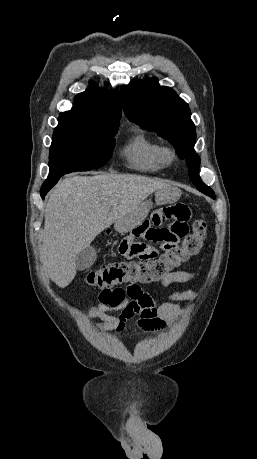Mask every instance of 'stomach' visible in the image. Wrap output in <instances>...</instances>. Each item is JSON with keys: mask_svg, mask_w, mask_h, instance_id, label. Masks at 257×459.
Masks as SVG:
<instances>
[{"mask_svg": "<svg viewBox=\"0 0 257 459\" xmlns=\"http://www.w3.org/2000/svg\"><path fill=\"white\" fill-rule=\"evenodd\" d=\"M180 195L181 191L177 187L168 186L156 191L155 202L157 205L170 204L173 203L174 200H178ZM151 208L152 202L150 200L140 203L137 207L130 210L114 222L115 230L121 234L129 232V230H132L135 227L136 223L143 222L149 214Z\"/></svg>", "mask_w": 257, "mask_h": 459, "instance_id": "obj_1", "label": "stomach"}]
</instances>
